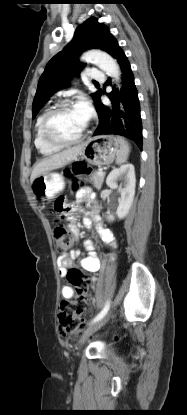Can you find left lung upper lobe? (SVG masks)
Instances as JSON below:
<instances>
[{"mask_svg":"<svg viewBox=\"0 0 187 415\" xmlns=\"http://www.w3.org/2000/svg\"><path fill=\"white\" fill-rule=\"evenodd\" d=\"M114 40L109 30L94 17L81 24L75 30L72 41L46 65L33 100L32 117L36 116L51 95L68 86L75 70L79 72L84 67L85 64L78 61V56L83 51L95 48L108 52ZM92 96L96 104L101 92L98 91Z\"/></svg>","mask_w":187,"mask_h":415,"instance_id":"5c2ea615","label":"left lung upper lobe"}]
</instances>
